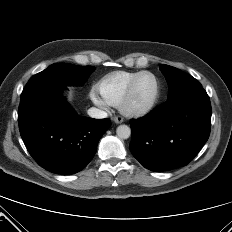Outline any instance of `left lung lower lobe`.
<instances>
[{
    "instance_id": "left-lung-lower-lobe-1",
    "label": "left lung lower lobe",
    "mask_w": 232,
    "mask_h": 232,
    "mask_svg": "<svg viewBox=\"0 0 232 232\" xmlns=\"http://www.w3.org/2000/svg\"><path fill=\"white\" fill-rule=\"evenodd\" d=\"M130 125L131 153L145 168L162 172L185 166L209 138V96L202 86L185 90Z\"/></svg>"
}]
</instances>
